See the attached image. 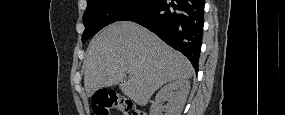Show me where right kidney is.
Masks as SVG:
<instances>
[{"mask_svg":"<svg viewBox=\"0 0 285 115\" xmlns=\"http://www.w3.org/2000/svg\"><path fill=\"white\" fill-rule=\"evenodd\" d=\"M190 82L176 80L166 84L156 94L155 102L150 107V115H161L163 102L168 101L169 107L165 115H180L189 94Z\"/></svg>","mask_w":285,"mask_h":115,"instance_id":"obj_1","label":"right kidney"}]
</instances>
